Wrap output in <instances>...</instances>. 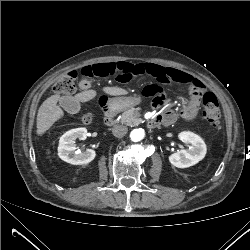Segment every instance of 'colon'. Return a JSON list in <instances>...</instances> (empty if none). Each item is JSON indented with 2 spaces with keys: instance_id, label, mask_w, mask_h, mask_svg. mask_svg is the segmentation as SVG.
<instances>
[{
  "instance_id": "colon-1",
  "label": "colon",
  "mask_w": 250,
  "mask_h": 250,
  "mask_svg": "<svg viewBox=\"0 0 250 250\" xmlns=\"http://www.w3.org/2000/svg\"><path fill=\"white\" fill-rule=\"evenodd\" d=\"M144 65H132L129 63H107L93 65L85 69L84 74L88 77L110 78L120 82H128L134 76L146 73ZM55 90L62 94H73L76 91V74L67 73L60 81L55 84ZM163 91L155 89L148 96L158 97V93ZM164 92V91H163ZM165 93V92H164ZM203 115L214 135H218L221 131V115L220 108L216 97L212 93L202 95ZM86 121H90L91 117L87 114Z\"/></svg>"
}]
</instances>
